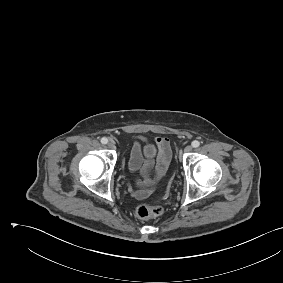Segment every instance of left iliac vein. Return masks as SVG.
<instances>
[{"label":"left iliac vein","mask_w":283,"mask_h":283,"mask_svg":"<svg viewBox=\"0 0 283 283\" xmlns=\"http://www.w3.org/2000/svg\"><path fill=\"white\" fill-rule=\"evenodd\" d=\"M192 151V147L191 146H186L184 149V152L188 153Z\"/></svg>","instance_id":"obj_1"}]
</instances>
